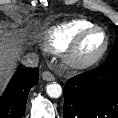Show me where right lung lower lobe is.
I'll use <instances>...</instances> for the list:
<instances>
[{"label":"right lung lower lobe","instance_id":"98d812e1","mask_svg":"<svg viewBox=\"0 0 118 118\" xmlns=\"http://www.w3.org/2000/svg\"><path fill=\"white\" fill-rule=\"evenodd\" d=\"M38 69L18 70L0 97V118H22L29 90L38 82Z\"/></svg>","mask_w":118,"mask_h":118}]
</instances>
